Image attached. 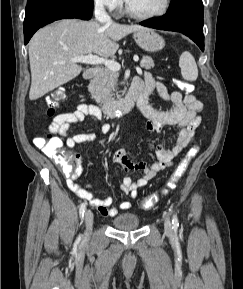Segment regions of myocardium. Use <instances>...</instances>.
I'll use <instances>...</instances> for the list:
<instances>
[{"mask_svg": "<svg viewBox=\"0 0 243 289\" xmlns=\"http://www.w3.org/2000/svg\"><path fill=\"white\" fill-rule=\"evenodd\" d=\"M170 5H171V0H164L162 7L158 11L149 13V14H139V13L134 12L129 7L127 0H125L124 11L131 18L138 19V20H148V19L157 18L166 14L170 8Z\"/></svg>", "mask_w": 243, "mask_h": 289, "instance_id": "myocardium-1", "label": "myocardium"}]
</instances>
